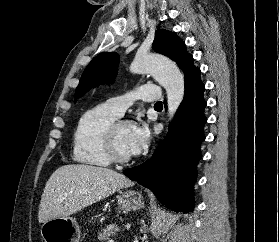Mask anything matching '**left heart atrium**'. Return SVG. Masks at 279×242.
Returning a JSON list of instances; mask_svg holds the SVG:
<instances>
[{
    "instance_id": "obj_1",
    "label": "left heart atrium",
    "mask_w": 279,
    "mask_h": 242,
    "mask_svg": "<svg viewBox=\"0 0 279 242\" xmlns=\"http://www.w3.org/2000/svg\"><path fill=\"white\" fill-rule=\"evenodd\" d=\"M149 137V129L145 122L132 125L129 140V149L131 154H140L148 145Z\"/></svg>"
}]
</instances>
